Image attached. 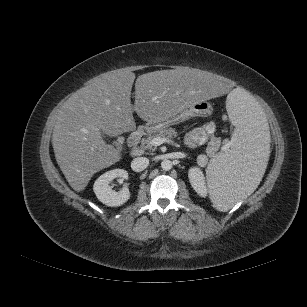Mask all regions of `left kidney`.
<instances>
[{
    "mask_svg": "<svg viewBox=\"0 0 307 307\" xmlns=\"http://www.w3.org/2000/svg\"><path fill=\"white\" fill-rule=\"evenodd\" d=\"M188 177L194 190L202 197H206L207 188L205 185V177L199 167H193L189 170Z\"/></svg>",
    "mask_w": 307,
    "mask_h": 307,
    "instance_id": "obj_1",
    "label": "left kidney"
}]
</instances>
